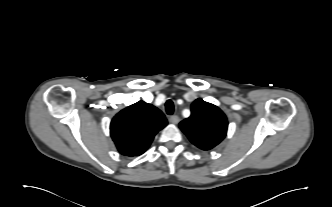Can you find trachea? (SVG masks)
Returning a JSON list of instances; mask_svg holds the SVG:
<instances>
[{
  "label": "trachea",
  "mask_w": 332,
  "mask_h": 207,
  "mask_svg": "<svg viewBox=\"0 0 332 207\" xmlns=\"http://www.w3.org/2000/svg\"><path fill=\"white\" fill-rule=\"evenodd\" d=\"M165 110L167 114L172 115L174 113V104L172 100H167L165 103Z\"/></svg>",
  "instance_id": "obj_1"
}]
</instances>
